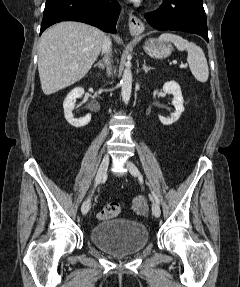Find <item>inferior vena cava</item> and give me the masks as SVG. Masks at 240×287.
<instances>
[{
  "label": "inferior vena cava",
  "instance_id": "1",
  "mask_svg": "<svg viewBox=\"0 0 240 287\" xmlns=\"http://www.w3.org/2000/svg\"><path fill=\"white\" fill-rule=\"evenodd\" d=\"M111 40L109 37L105 36L103 43H102V53L108 55L111 52ZM110 68L107 69L108 74H110Z\"/></svg>",
  "mask_w": 240,
  "mask_h": 287
}]
</instances>
